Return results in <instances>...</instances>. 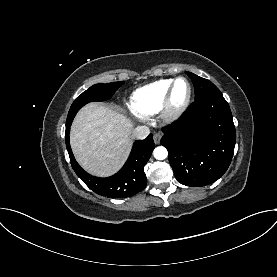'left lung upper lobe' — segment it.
<instances>
[{"mask_svg":"<svg viewBox=\"0 0 277 277\" xmlns=\"http://www.w3.org/2000/svg\"><path fill=\"white\" fill-rule=\"evenodd\" d=\"M195 87V100L212 94H221L220 90L209 80L199 77L191 72H186Z\"/></svg>","mask_w":277,"mask_h":277,"instance_id":"5c2ea615","label":"left lung upper lobe"}]
</instances>
